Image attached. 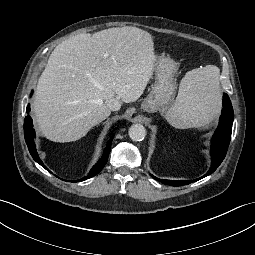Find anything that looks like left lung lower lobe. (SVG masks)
Here are the masks:
<instances>
[{
	"label": "left lung lower lobe",
	"mask_w": 255,
	"mask_h": 255,
	"mask_svg": "<svg viewBox=\"0 0 255 255\" xmlns=\"http://www.w3.org/2000/svg\"><path fill=\"white\" fill-rule=\"evenodd\" d=\"M233 107L230 101V98L227 94L224 93L223 95V109L220 116L219 126L212 138V147H211V158L212 164L209 171L202 177L195 179V180H182V181H174V180H162L154 177L156 180L171 186H181L187 185L197 180H200L211 173H213L217 167L221 164L224 157L226 156V152L228 149V145L231 140V133H232V124H233Z\"/></svg>",
	"instance_id": "1"
}]
</instances>
